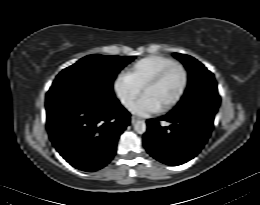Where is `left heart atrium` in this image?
Instances as JSON below:
<instances>
[{
	"mask_svg": "<svg viewBox=\"0 0 260 205\" xmlns=\"http://www.w3.org/2000/svg\"><path fill=\"white\" fill-rule=\"evenodd\" d=\"M160 109V106L149 97H144L133 105L132 110L136 113H153Z\"/></svg>",
	"mask_w": 260,
	"mask_h": 205,
	"instance_id": "1",
	"label": "left heart atrium"
}]
</instances>
